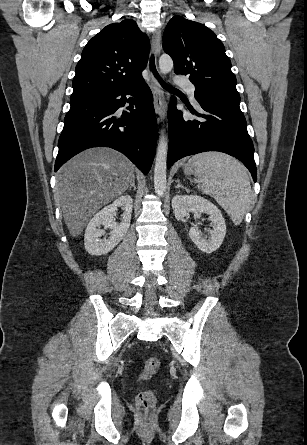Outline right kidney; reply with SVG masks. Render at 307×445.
Here are the masks:
<instances>
[{"label":"right kidney","mask_w":307,"mask_h":445,"mask_svg":"<svg viewBox=\"0 0 307 445\" xmlns=\"http://www.w3.org/2000/svg\"><path fill=\"white\" fill-rule=\"evenodd\" d=\"M117 206L124 208L122 223H119V225L115 223L113 218V212H115ZM132 208L133 200L131 196L124 194V196L116 198L112 204L104 206L91 218L84 237L85 249L90 255H107L124 239L130 227ZM101 225L104 229H112L109 239H101L104 235L103 229H100Z\"/></svg>","instance_id":"1"}]
</instances>
